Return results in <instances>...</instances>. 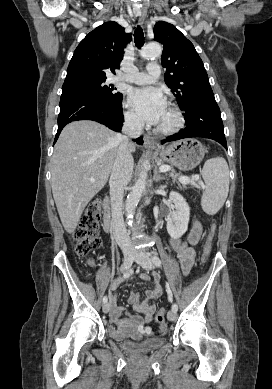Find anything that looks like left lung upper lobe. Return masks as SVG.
<instances>
[{
    "label": "left lung upper lobe",
    "mask_w": 272,
    "mask_h": 389,
    "mask_svg": "<svg viewBox=\"0 0 272 389\" xmlns=\"http://www.w3.org/2000/svg\"><path fill=\"white\" fill-rule=\"evenodd\" d=\"M154 39L163 44L161 63L165 83L185 111L197 101L213 96L203 62L193 44L172 24L159 21Z\"/></svg>",
    "instance_id": "obj_1"
}]
</instances>
